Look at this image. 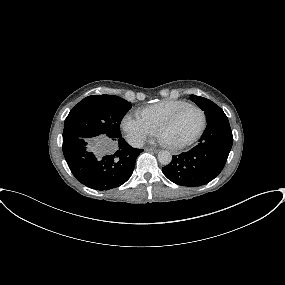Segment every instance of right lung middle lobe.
Returning <instances> with one entry per match:
<instances>
[{
    "label": "right lung middle lobe",
    "mask_w": 285,
    "mask_h": 285,
    "mask_svg": "<svg viewBox=\"0 0 285 285\" xmlns=\"http://www.w3.org/2000/svg\"><path fill=\"white\" fill-rule=\"evenodd\" d=\"M130 108V102L114 95L84 98L65 119L63 142H74L77 138L97 141L120 138V123Z\"/></svg>",
    "instance_id": "right-lung-middle-lobe-1"
}]
</instances>
